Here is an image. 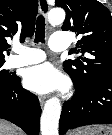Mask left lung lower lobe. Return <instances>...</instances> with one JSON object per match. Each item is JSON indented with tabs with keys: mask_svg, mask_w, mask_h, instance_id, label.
Masks as SVG:
<instances>
[{
	"mask_svg": "<svg viewBox=\"0 0 112 135\" xmlns=\"http://www.w3.org/2000/svg\"><path fill=\"white\" fill-rule=\"evenodd\" d=\"M72 80L76 94L63 105L59 134L85 125L112 124V76L101 77L87 86Z\"/></svg>",
	"mask_w": 112,
	"mask_h": 135,
	"instance_id": "obj_1",
	"label": "left lung lower lobe"
}]
</instances>
